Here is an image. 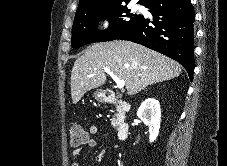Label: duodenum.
Returning a JSON list of instances; mask_svg holds the SVG:
<instances>
[{
	"label": "duodenum",
	"mask_w": 227,
	"mask_h": 166,
	"mask_svg": "<svg viewBox=\"0 0 227 166\" xmlns=\"http://www.w3.org/2000/svg\"><path fill=\"white\" fill-rule=\"evenodd\" d=\"M103 99L107 103H111V104L116 105L119 109L120 114H122V115L127 114L132 108L131 104L128 101L117 98L115 96V94L110 90H106L104 92V98ZM129 130H130L129 123L127 121H122L119 124V127H118L119 139L125 140L128 137Z\"/></svg>",
	"instance_id": "410a0bca"
}]
</instances>
